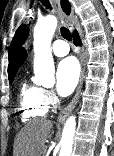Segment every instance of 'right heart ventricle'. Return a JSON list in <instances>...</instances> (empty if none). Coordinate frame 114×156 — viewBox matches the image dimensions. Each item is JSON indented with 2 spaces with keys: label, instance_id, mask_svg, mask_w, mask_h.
<instances>
[{
  "label": "right heart ventricle",
  "instance_id": "right-heart-ventricle-1",
  "mask_svg": "<svg viewBox=\"0 0 114 156\" xmlns=\"http://www.w3.org/2000/svg\"><path fill=\"white\" fill-rule=\"evenodd\" d=\"M43 91V88L27 79L21 81L19 109L24 122L42 118L47 114L48 104L44 100Z\"/></svg>",
  "mask_w": 114,
  "mask_h": 156
}]
</instances>
